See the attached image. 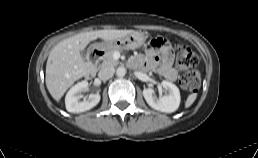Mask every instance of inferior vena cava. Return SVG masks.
Returning a JSON list of instances; mask_svg holds the SVG:
<instances>
[{"label": "inferior vena cava", "instance_id": "inferior-vena-cava-1", "mask_svg": "<svg viewBox=\"0 0 258 158\" xmlns=\"http://www.w3.org/2000/svg\"><path fill=\"white\" fill-rule=\"evenodd\" d=\"M115 69L112 66H103L99 73H98V77L101 80H108L110 79L113 75H114Z\"/></svg>", "mask_w": 258, "mask_h": 158}]
</instances>
